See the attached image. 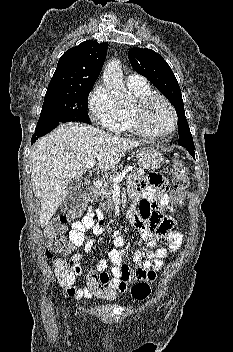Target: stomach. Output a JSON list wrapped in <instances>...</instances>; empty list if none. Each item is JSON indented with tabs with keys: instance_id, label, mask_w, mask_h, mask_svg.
I'll return each instance as SVG.
<instances>
[{
	"instance_id": "1",
	"label": "stomach",
	"mask_w": 233,
	"mask_h": 352,
	"mask_svg": "<svg viewBox=\"0 0 233 352\" xmlns=\"http://www.w3.org/2000/svg\"><path fill=\"white\" fill-rule=\"evenodd\" d=\"M136 158L141 168L149 170L160 167L164 161L162 154L151 147L139 149L136 153Z\"/></svg>"
}]
</instances>
